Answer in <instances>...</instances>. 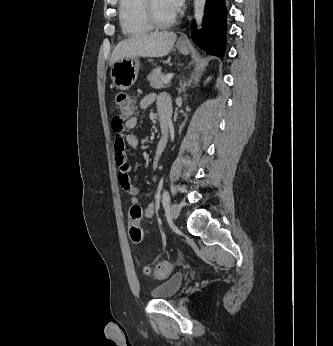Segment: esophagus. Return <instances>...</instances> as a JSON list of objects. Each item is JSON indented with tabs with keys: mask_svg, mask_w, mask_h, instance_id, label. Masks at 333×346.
I'll use <instances>...</instances> for the list:
<instances>
[{
	"mask_svg": "<svg viewBox=\"0 0 333 346\" xmlns=\"http://www.w3.org/2000/svg\"><path fill=\"white\" fill-rule=\"evenodd\" d=\"M179 41L186 42L188 41V37L186 35H182L180 36Z\"/></svg>",
	"mask_w": 333,
	"mask_h": 346,
	"instance_id": "esophagus-1",
	"label": "esophagus"
}]
</instances>
